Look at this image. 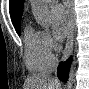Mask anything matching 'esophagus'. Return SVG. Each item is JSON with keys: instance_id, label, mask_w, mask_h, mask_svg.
I'll list each match as a JSON object with an SVG mask.
<instances>
[{"instance_id": "esophagus-1", "label": "esophagus", "mask_w": 89, "mask_h": 89, "mask_svg": "<svg viewBox=\"0 0 89 89\" xmlns=\"http://www.w3.org/2000/svg\"><path fill=\"white\" fill-rule=\"evenodd\" d=\"M67 17H68V32L66 45L63 52V61L67 60L70 55L73 46V35H74V21H73V13H72V4L70 0L65 1L64 3Z\"/></svg>"}]
</instances>
